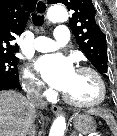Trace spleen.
<instances>
[{
  "instance_id": "1",
  "label": "spleen",
  "mask_w": 117,
  "mask_h": 136,
  "mask_svg": "<svg viewBox=\"0 0 117 136\" xmlns=\"http://www.w3.org/2000/svg\"><path fill=\"white\" fill-rule=\"evenodd\" d=\"M88 112L93 114V115L99 114V112L95 109H90ZM99 115H101L105 119V121H106L107 125L110 127L112 133L115 136H117V124H116L114 117L111 114H108V113H101Z\"/></svg>"
}]
</instances>
